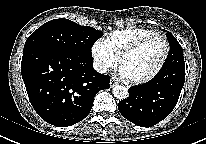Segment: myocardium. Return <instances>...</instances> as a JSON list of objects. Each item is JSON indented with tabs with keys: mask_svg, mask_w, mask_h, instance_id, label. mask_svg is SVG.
I'll list each match as a JSON object with an SVG mask.
<instances>
[{
	"mask_svg": "<svg viewBox=\"0 0 206 144\" xmlns=\"http://www.w3.org/2000/svg\"><path fill=\"white\" fill-rule=\"evenodd\" d=\"M154 39H159L163 42L164 54L162 56V59L159 62L158 66L155 68V70L153 72H151L149 75H147L143 78H140V79H129V81L134 85H143V84L149 83V82L153 81L161 73V71L163 70V68L168 60L169 54H170L169 41L163 35L152 34V35H149L147 37H144V38L138 40L137 42H135L132 45L125 48L118 57V62L121 65L125 58H127L128 56L137 52L144 45H146L148 42H150L151 40H154Z\"/></svg>",
	"mask_w": 206,
	"mask_h": 144,
	"instance_id": "myocardium-1",
	"label": "myocardium"
}]
</instances>
